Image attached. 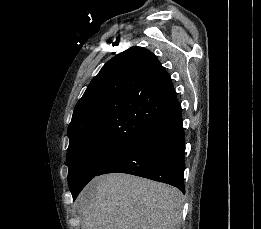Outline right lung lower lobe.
<instances>
[{"instance_id":"1","label":"right lung lower lobe","mask_w":261,"mask_h":229,"mask_svg":"<svg viewBox=\"0 0 261 229\" xmlns=\"http://www.w3.org/2000/svg\"><path fill=\"white\" fill-rule=\"evenodd\" d=\"M184 146L181 108L176 104L96 176L128 173L170 184L184 192Z\"/></svg>"}]
</instances>
